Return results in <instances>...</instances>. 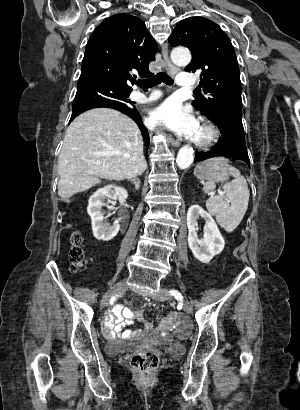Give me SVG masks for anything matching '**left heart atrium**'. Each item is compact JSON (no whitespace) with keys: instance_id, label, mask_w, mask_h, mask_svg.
Returning <instances> with one entry per match:
<instances>
[{"instance_id":"39dd6f15","label":"left heart atrium","mask_w":300,"mask_h":410,"mask_svg":"<svg viewBox=\"0 0 300 410\" xmlns=\"http://www.w3.org/2000/svg\"><path fill=\"white\" fill-rule=\"evenodd\" d=\"M149 123L188 139H194L199 128L191 111L174 99L156 107L149 116Z\"/></svg>"}]
</instances>
